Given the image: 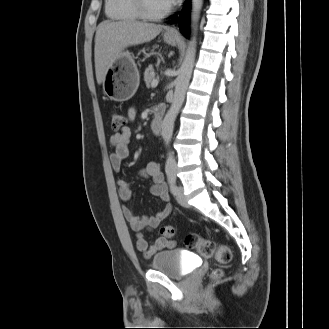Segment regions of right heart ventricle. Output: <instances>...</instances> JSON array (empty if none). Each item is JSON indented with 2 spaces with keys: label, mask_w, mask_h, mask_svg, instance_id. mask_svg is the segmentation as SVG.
Segmentation results:
<instances>
[{
  "label": "right heart ventricle",
  "mask_w": 329,
  "mask_h": 329,
  "mask_svg": "<svg viewBox=\"0 0 329 329\" xmlns=\"http://www.w3.org/2000/svg\"><path fill=\"white\" fill-rule=\"evenodd\" d=\"M105 11L116 20L135 21L141 18L134 0H106Z\"/></svg>",
  "instance_id": "1"
}]
</instances>
